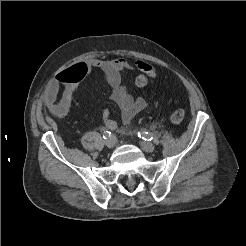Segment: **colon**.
Returning <instances> with one entry per match:
<instances>
[{
  "label": "colon",
  "instance_id": "colon-1",
  "mask_svg": "<svg viewBox=\"0 0 246 246\" xmlns=\"http://www.w3.org/2000/svg\"><path fill=\"white\" fill-rule=\"evenodd\" d=\"M135 64L141 72L135 79V83L138 87H144L148 84L149 80L156 78V71L149 63L136 60ZM184 118L185 111L181 108L175 109L170 115V119L174 124H180Z\"/></svg>",
  "mask_w": 246,
  "mask_h": 246
}]
</instances>
